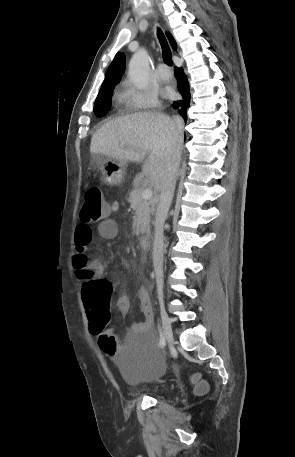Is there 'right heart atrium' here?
Here are the masks:
<instances>
[{
	"mask_svg": "<svg viewBox=\"0 0 295 457\" xmlns=\"http://www.w3.org/2000/svg\"><path fill=\"white\" fill-rule=\"evenodd\" d=\"M122 99L125 105L131 110H147L159 106V99L154 90H140L129 83L124 85Z\"/></svg>",
	"mask_w": 295,
	"mask_h": 457,
	"instance_id": "obj_1",
	"label": "right heart atrium"
}]
</instances>
